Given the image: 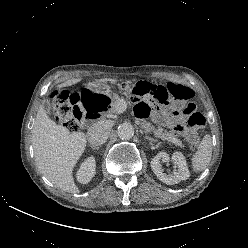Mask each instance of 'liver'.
Segmentation results:
<instances>
[{
  "label": "liver",
  "mask_w": 248,
  "mask_h": 248,
  "mask_svg": "<svg viewBox=\"0 0 248 248\" xmlns=\"http://www.w3.org/2000/svg\"><path fill=\"white\" fill-rule=\"evenodd\" d=\"M81 81L72 78L59 87ZM87 139L83 132H70L57 125L46 113L43 105L38 109L32 129L35 163L41 173L56 187L69 193L79 191L73 178V168L83 154Z\"/></svg>",
  "instance_id": "1"
}]
</instances>
